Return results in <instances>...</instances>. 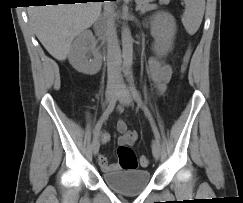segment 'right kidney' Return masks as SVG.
I'll list each match as a JSON object with an SVG mask.
<instances>
[{
	"instance_id": "right-kidney-1",
	"label": "right kidney",
	"mask_w": 243,
	"mask_h": 203,
	"mask_svg": "<svg viewBox=\"0 0 243 203\" xmlns=\"http://www.w3.org/2000/svg\"><path fill=\"white\" fill-rule=\"evenodd\" d=\"M88 54L93 55V58ZM69 62L78 72L88 75H94L101 69L102 55L96 49L95 38L90 30L83 31L75 39Z\"/></svg>"
}]
</instances>
